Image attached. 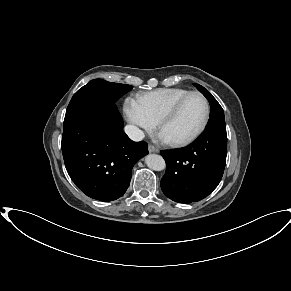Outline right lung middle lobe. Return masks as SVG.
Masks as SVG:
<instances>
[{
  "label": "right lung middle lobe",
  "mask_w": 291,
  "mask_h": 291,
  "mask_svg": "<svg viewBox=\"0 0 291 291\" xmlns=\"http://www.w3.org/2000/svg\"><path fill=\"white\" fill-rule=\"evenodd\" d=\"M132 86L94 79L80 88L72 97L64 121L83 120L101 108L115 104Z\"/></svg>",
  "instance_id": "right-lung-middle-lobe-1"
}]
</instances>
